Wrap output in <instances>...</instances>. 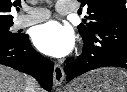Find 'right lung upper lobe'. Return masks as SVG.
<instances>
[{
  "label": "right lung upper lobe",
  "mask_w": 127,
  "mask_h": 92,
  "mask_svg": "<svg viewBox=\"0 0 127 92\" xmlns=\"http://www.w3.org/2000/svg\"><path fill=\"white\" fill-rule=\"evenodd\" d=\"M16 6H21V0H0V25L13 23V16L9 12Z\"/></svg>",
  "instance_id": "right-lung-upper-lobe-1"
}]
</instances>
